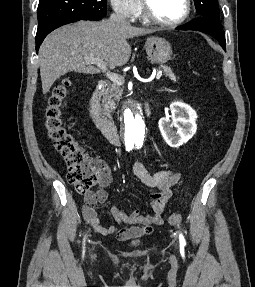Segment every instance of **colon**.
<instances>
[{
    "instance_id": "colon-1",
    "label": "colon",
    "mask_w": 255,
    "mask_h": 287,
    "mask_svg": "<svg viewBox=\"0 0 255 287\" xmlns=\"http://www.w3.org/2000/svg\"><path fill=\"white\" fill-rule=\"evenodd\" d=\"M69 81L57 84L48 98L44 126L54 148L67 163V180L82 194L87 193L99 180V167L92 161L85 149L65 127L63 106L68 94ZM170 225L181 222L179 213L167 217Z\"/></svg>"
}]
</instances>
